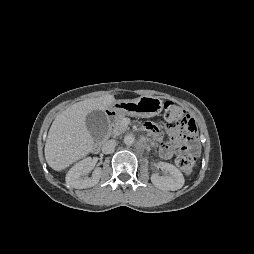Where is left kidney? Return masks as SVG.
<instances>
[{
  "label": "left kidney",
  "mask_w": 254,
  "mask_h": 254,
  "mask_svg": "<svg viewBox=\"0 0 254 254\" xmlns=\"http://www.w3.org/2000/svg\"><path fill=\"white\" fill-rule=\"evenodd\" d=\"M159 167L165 170L168 174L160 177L158 174L151 175V182L157 188L162 190H178L184 185V177L180 170L172 164L160 162Z\"/></svg>",
  "instance_id": "obj_1"
}]
</instances>
